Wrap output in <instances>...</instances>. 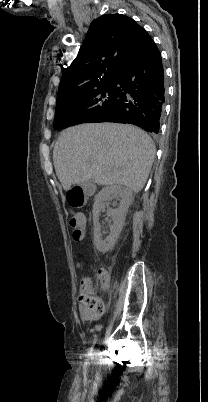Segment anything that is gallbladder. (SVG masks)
<instances>
[{"label": "gallbladder", "mask_w": 208, "mask_h": 402, "mask_svg": "<svg viewBox=\"0 0 208 402\" xmlns=\"http://www.w3.org/2000/svg\"><path fill=\"white\" fill-rule=\"evenodd\" d=\"M98 188L97 181H86L84 186V194L85 195H94L95 190Z\"/></svg>", "instance_id": "bac80fb5"}]
</instances>
